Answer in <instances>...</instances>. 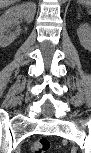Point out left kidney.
<instances>
[{
    "instance_id": "5707ae66",
    "label": "left kidney",
    "mask_w": 91,
    "mask_h": 153,
    "mask_svg": "<svg viewBox=\"0 0 91 153\" xmlns=\"http://www.w3.org/2000/svg\"><path fill=\"white\" fill-rule=\"evenodd\" d=\"M77 35L79 37L81 45L86 50H91V40H90L91 27L90 25L87 23L80 25V27L77 29Z\"/></svg>"
}]
</instances>
